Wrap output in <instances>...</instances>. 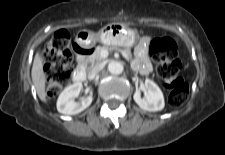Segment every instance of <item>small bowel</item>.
<instances>
[{
    "label": "small bowel",
    "instance_id": "c3829d8e",
    "mask_svg": "<svg viewBox=\"0 0 225 155\" xmlns=\"http://www.w3.org/2000/svg\"><path fill=\"white\" fill-rule=\"evenodd\" d=\"M134 66L143 74H147L152 70V65L147 54L146 41L143 40L135 49Z\"/></svg>",
    "mask_w": 225,
    "mask_h": 155
}]
</instances>
